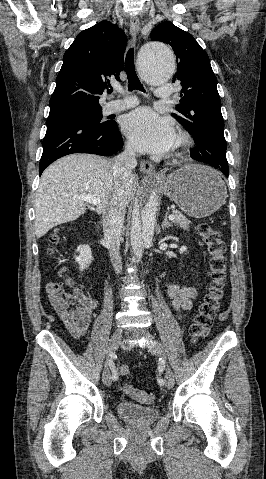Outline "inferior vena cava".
Instances as JSON below:
<instances>
[{"mask_svg": "<svg viewBox=\"0 0 266 479\" xmlns=\"http://www.w3.org/2000/svg\"><path fill=\"white\" fill-rule=\"evenodd\" d=\"M136 165L135 150L130 144H127L125 150L112 162L115 178L114 191L111 200L103 209L104 238L108 245L112 265L117 273L122 271L119 248L126 209L122 198V188L132 175V170Z\"/></svg>", "mask_w": 266, "mask_h": 479, "instance_id": "obj_1", "label": "inferior vena cava"}]
</instances>
